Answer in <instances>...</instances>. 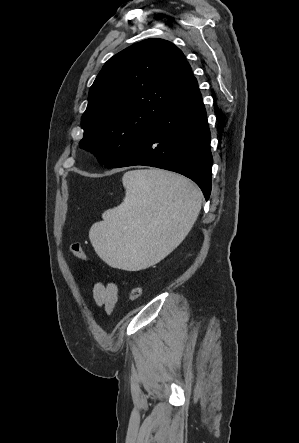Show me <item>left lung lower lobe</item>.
Wrapping results in <instances>:
<instances>
[{
  "label": "left lung lower lobe",
  "instance_id": "obj_1",
  "mask_svg": "<svg viewBox=\"0 0 299 443\" xmlns=\"http://www.w3.org/2000/svg\"><path fill=\"white\" fill-rule=\"evenodd\" d=\"M212 162L206 110L193 77L113 167L145 165L180 173L208 200Z\"/></svg>",
  "mask_w": 299,
  "mask_h": 443
}]
</instances>
